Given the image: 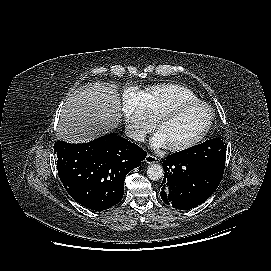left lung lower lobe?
I'll list each match as a JSON object with an SVG mask.
<instances>
[{
    "mask_svg": "<svg viewBox=\"0 0 271 271\" xmlns=\"http://www.w3.org/2000/svg\"><path fill=\"white\" fill-rule=\"evenodd\" d=\"M165 176L162 200L176 209L187 210L206 201L216 190L223 173L205 164L173 153L163 162Z\"/></svg>",
    "mask_w": 271,
    "mask_h": 271,
    "instance_id": "1",
    "label": "left lung lower lobe"
}]
</instances>
